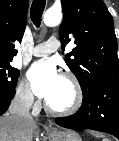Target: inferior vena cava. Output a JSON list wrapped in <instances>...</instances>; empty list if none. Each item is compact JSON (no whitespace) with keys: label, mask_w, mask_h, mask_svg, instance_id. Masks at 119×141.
<instances>
[{"label":"inferior vena cava","mask_w":119,"mask_h":141,"mask_svg":"<svg viewBox=\"0 0 119 141\" xmlns=\"http://www.w3.org/2000/svg\"><path fill=\"white\" fill-rule=\"evenodd\" d=\"M32 104L33 95L31 92L19 94L12 100L9 107V114L22 119L25 123H33L34 119L30 114Z\"/></svg>","instance_id":"1"}]
</instances>
